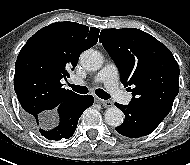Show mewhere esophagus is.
Segmentation results:
<instances>
[{"label": "esophagus", "mask_w": 190, "mask_h": 165, "mask_svg": "<svg viewBox=\"0 0 190 165\" xmlns=\"http://www.w3.org/2000/svg\"><path fill=\"white\" fill-rule=\"evenodd\" d=\"M98 102L100 104H102L103 107L105 108H109L113 106V103L110 100H102V99H98Z\"/></svg>", "instance_id": "esophagus-1"}]
</instances>
